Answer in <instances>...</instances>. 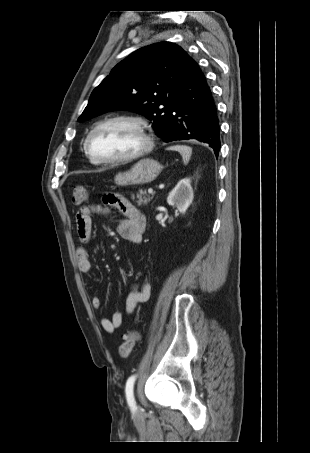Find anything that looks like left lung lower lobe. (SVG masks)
Returning <instances> with one entry per match:
<instances>
[{"label":"left lung lower lobe","mask_w":310,"mask_h":453,"mask_svg":"<svg viewBox=\"0 0 310 453\" xmlns=\"http://www.w3.org/2000/svg\"><path fill=\"white\" fill-rule=\"evenodd\" d=\"M165 142L195 139L220 150L217 108L205 75L192 59L187 78L159 135Z\"/></svg>","instance_id":"1"}]
</instances>
